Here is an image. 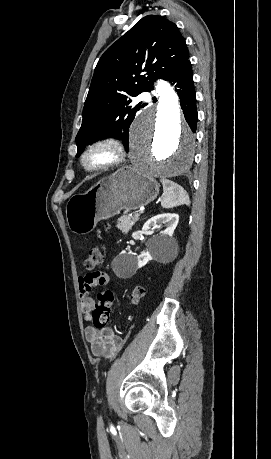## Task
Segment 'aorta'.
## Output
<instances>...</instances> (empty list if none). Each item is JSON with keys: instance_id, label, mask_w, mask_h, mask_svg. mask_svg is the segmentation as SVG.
Segmentation results:
<instances>
[{"instance_id": "762f6f07", "label": "aorta", "mask_w": 271, "mask_h": 459, "mask_svg": "<svg viewBox=\"0 0 271 459\" xmlns=\"http://www.w3.org/2000/svg\"><path fill=\"white\" fill-rule=\"evenodd\" d=\"M156 92L158 105L145 110L133 125L129 156L137 173L164 179L191 166L195 137L181 117L174 88L159 80Z\"/></svg>"}]
</instances>
